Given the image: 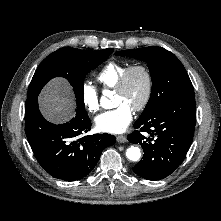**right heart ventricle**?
<instances>
[{
	"mask_svg": "<svg viewBox=\"0 0 221 221\" xmlns=\"http://www.w3.org/2000/svg\"><path fill=\"white\" fill-rule=\"evenodd\" d=\"M128 64L110 61L98 73L97 80L106 89H114Z\"/></svg>",
	"mask_w": 221,
	"mask_h": 221,
	"instance_id": "right-heart-ventricle-1",
	"label": "right heart ventricle"
}]
</instances>
